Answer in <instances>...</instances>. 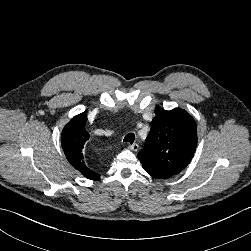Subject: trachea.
Instances as JSON below:
<instances>
[{
    "instance_id": "obj_1",
    "label": "trachea",
    "mask_w": 251,
    "mask_h": 251,
    "mask_svg": "<svg viewBox=\"0 0 251 251\" xmlns=\"http://www.w3.org/2000/svg\"><path fill=\"white\" fill-rule=\"evenodd\" d=\"M135 140V135L134 133H128L125 137H124V142H129L130 144H132Z\"/></svg>"
}]
</instances>
